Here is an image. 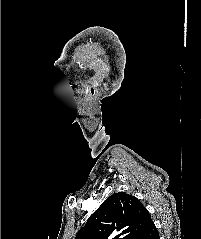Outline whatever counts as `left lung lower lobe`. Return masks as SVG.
<instances>
[{
    "mask_svg": "<svg viewBox=\"0 0 201 239\" xmlns=\"http://www.w3.org/2000/svg\"><path fill=\"white\" fill-rule=\"evenodd\" d=\"M137 239H160L152 220L147 224L145 230L137 237Z\"/></svg>",
    "mask_w": 201,
    "mask_h": 239,
    "instance_id": "left-lung-lower-lobe-1",
    "label": "left lung lower lobe"
}]
</instances>
